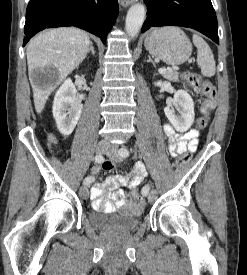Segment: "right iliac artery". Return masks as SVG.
Wrapping results in <instances>:
<instances>
[{
	"instance_id": "1",
	"label": "right iliac artery",
	"mask_w": 247,
	"mask_h": 275,
	"mask_svg": "<svg viewBox=\"0 0 247 275\" xmlns=\"http://www.w3.org/2000/svg\"><path fill=\"white\" fill-rule=\"evenodd\" d=\"M94 159H95L96 163H102V162H104V157L101 154H97ZM94 180H95V178L93 176H87L84 179L83 183L85 185H90Z\"/></svg>"
}]
</instances>
